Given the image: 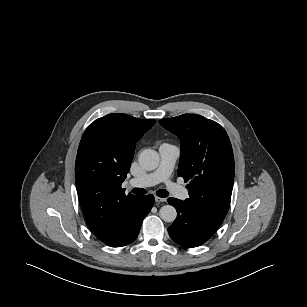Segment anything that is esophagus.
<instances>
[{
	"instance_id": "obj_1",
	"label": "esophagus",
	"mask_w": 307,
	"mask_h": 307,
	"mask_svg": "<svg viewBox=\"0 0 307 307\" xmlns=\"http://www.w3.org/2000/svg\"><path fill=\"white\" fill-rule=\"evenodd\" d=\"M155 201H156V202H165V201H166V198H162V197H159V196H155Z\"/></svg>"
}]
</instances>
